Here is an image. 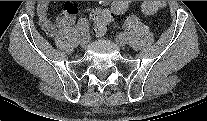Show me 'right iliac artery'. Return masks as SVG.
Wrapping results in <instances>:
<instances>
[{"label": "right iliac artery", "mask_w": 207, "mask_h": 121, "mask_svg": "<svg viewBox=\"0 0 207 121\" xmlns=\"http://www.w3.org/2000/svg\"><path fill=\"white\" fill-rule=\"evenodd\" d=\"M80 34L82 36H86L87 32H88V22L86 19H81V21L79 22L78 26H77Z\"/></svg>", "instance_id": "1"}]
</instances>
